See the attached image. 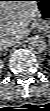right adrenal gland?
Here are the masks:
<instances>
[{
	"mask_svg": "<svg viewBox=\"0 0 50 111\" xmlns=\"http://www.w3.org/2000/svg\"><path fill=\"white\" fill-rule=\"evenodd\" d=\"M8 47H9V46H4V47L1 49V51H4V52H5V53H4V56L7 55Z\"/></svg>",
	"mask_w": 50,
	"mask_h": 111,
	"instance_id": "1",
	"label": "right adrenal gland"
}]
</instances>
